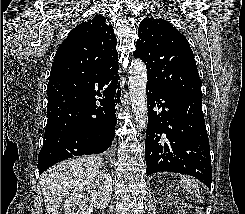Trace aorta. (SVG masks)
I'll return each instance as SVG.
<instances>
[{
    "mask_svg": "<svg viewBox=\"0 0 245 214\" xmlns=\"http://www.w3.org/2000/svg\"><path fill=\"white\" fill-rule=\"evenodd\" d=\"M147 70L145 64L135 59L129 66V94L131 98L132 111L134 113L137 127L145 129L147 126Z\"/></svg>",
    "mask_w": 245,
    "mask_h": 214,
    "instance_id": "obj_1",
    "label": "aorta"
}]
</instances>
